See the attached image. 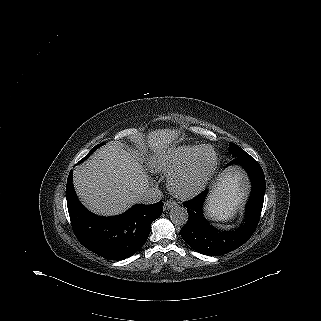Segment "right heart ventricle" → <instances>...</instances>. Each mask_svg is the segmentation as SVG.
Wrapping results in <instances>:
<instances>
[{"instance_id":"e07e8e85","label":"right heart ventricle","mask_w":321,"mask_h":321,"mask_svg":"<svg viewBox=\"0 0 321 321\" xmlns=\"http://www.w3.org/2000/svg\"><path fill=\"white\" fill-rule=\"evenodd\" d=\"M199 147L193 145L164 149L152 156L150 169L155 173L169 175L185 166Z\"/></svg>"}]
</instances>
